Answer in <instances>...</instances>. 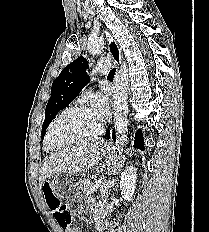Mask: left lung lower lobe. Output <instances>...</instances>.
Segmentation results:
<instances>
[{
  "label": "left lung lower lobe",
  "instance_id": "obj_1",
  "mask_svg": "<svg viewBox=\"0 0 209 232\" xmlns=\"http://www.w3.org/2000/svg\"><path fill=\"white\" fill-rule=\"evenodd\" d=\"M109 137H110V130L107 129L106 130V135L103 136V138H109ZM112 137H113V140H116L114 130L112 131ZM134 144H135L134 145L135 147H138V148L144 150L143 134H142L141 130H138L136 132Z\"/></svg>",
  "mask_w": 209,
  "mask_h": 232
}]
</instances>
